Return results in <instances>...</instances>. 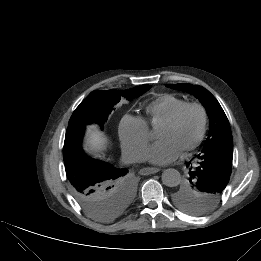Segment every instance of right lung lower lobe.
I'll list each match as a JSON object with an SVG mask.
<instances>
[{
    "label": "right lung lower lobe",
    "instance_id": "98d812e1",
    "mask_svg": "<svg viewBox=\"0 0 261 261\" xmlns=\"http://www.w3.org/2000/svg\"><path fill=\"white\" fill-rule=\"evenodd\" d=\"M85 125L68 126L63 147V159L68 180L78 185L96 184L115 177L126 169H118L111 164L88 157L81 147Z\"/></svg>",
    "mask_w": 261,
    "mask_h": 261
}]
</instances>
